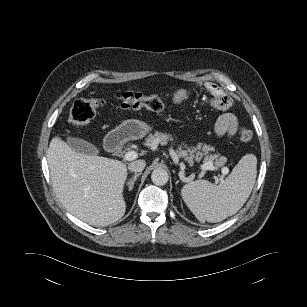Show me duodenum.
<instances>
[{
    "instance_id": "1",
    "label": "duodenum",
    "mask_w": 307,
    "mask_h": 307,
    "mask_svg": "<svg viewBox=\"0 0 307 307\" xmlns=\"http://www.w3.org/2000/svg\"><path fill=\"white\" fill-rule=\"evenodd\" d=\"M109 146L112 150V152L117 153L120 152L122 149V145L119 144L115 139H112L109 141Z\"/></svg>"
}]
</instances>
